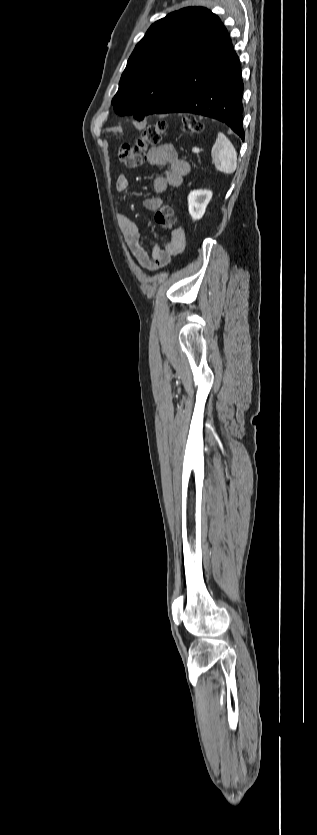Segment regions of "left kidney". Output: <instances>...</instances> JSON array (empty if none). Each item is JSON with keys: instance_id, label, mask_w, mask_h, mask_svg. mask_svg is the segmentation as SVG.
Returning a JSON list of instances; mask_svg holds the SVG:
<instances>
[{"instance_id": "obj_1", "label": "left kidney", "mask_w": 317, "mask_h": 835, "mask_svg": "<svg viewBox=\"0 0 317 835\" xmlns=\"http://www.w3.org/2000/svg\"><path fill=\"white\" fill-rule=\"evenodd\" d=\"M212 198L210 190H193L188 195L189 213L193 220H199L203 217L206 207Z\"/></svg>"}]
</instances>
